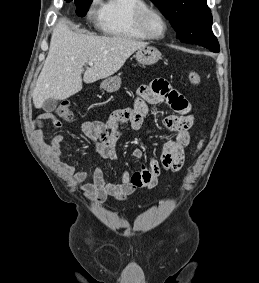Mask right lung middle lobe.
Listing matches in <instances>:
<instances>
[{"mask_svg":"<svg viewBox=\"0 0 259 283\" xmlns=\"http://www.w3.org/2000/svg\"><path fill=\"white\" fill-rule=\"evenodd\" d=\"M76 4V13L80 17H84L88 11V8L90 4L92 3V0H74Z\"/></svg>","mask_w":259,"mask_h":283,"instance_id":"1","label":"right lung middle lobe"}]
</instances>
